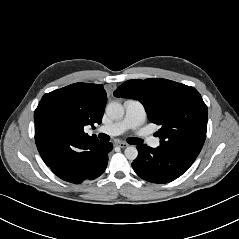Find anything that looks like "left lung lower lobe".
<instances>
[{
  "label": "left lung lower lobe",
  "mask_w": 239,
  "mask_h": 239,
  "mask_svg": "<svg viewBox=\"0 0 239 239\" xmlns=\"http://www.w3.org/2000/svg\"><path fill=\"white\" fill-rule=\"evenodd\" d=\"M138 157L132 162L135 173L152 183H168L188 170L196 158L167 146H137Z\"/></svg>",
  "instance_id": "0a47b994"
}]
</instances>
